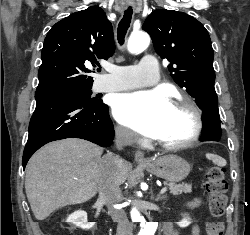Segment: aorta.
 Returning a JSON list of instances; mask_svg holds the SVG:
<instances>
[{
	"label": "aorta",
	"instance_id": "obj_1",
	"mask_svg": "<svg viewBox=\"0 0 250 235\" xmlns=\"http://www.w3.org/2000/svg\"><path fill=\"white\" fill-rule=\"evenodd\" d=\"M150 44V37L145 33H134L128 40V50L131 53L145 50ZM131 219L133 222H140L142 227L138 235H154L158 223L157 222H145V219L136 208L131 210Z\"/></svg>",
	"mask_w": 250,
	"mask_h": 235
}]
</instances>
